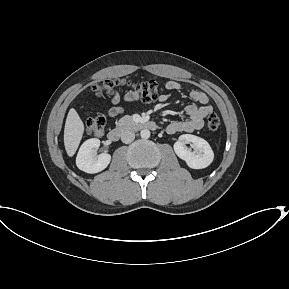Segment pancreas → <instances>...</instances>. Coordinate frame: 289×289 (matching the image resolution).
I'll return each instance as SVG.
<instances>
[{
  "instance_id": "obj_1",
  "label": "pancreas",
  "mask_w": 289,
  "mask_h": 289,
  "mask_svg": "<svg viewBox=\"0 0 289 289\" xmlns=\"http://www.w3.org/2000/svg\"><path fill=\"white\" fill-rule=\"evenodd\" d=\"M130 124H133V121H132V117L129 115H125L117 123L118 126H124V125H130Z\"/></svg>"
}]
</instances>
